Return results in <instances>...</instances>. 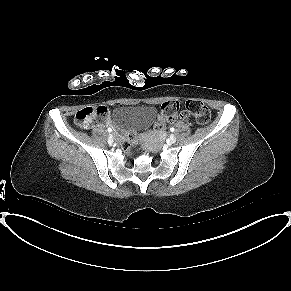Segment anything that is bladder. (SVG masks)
I'll return each instance as SVG.
<instances>
[{"mask_svg": "<svg viewBox=\"0 0 291 291\" xmlns=\"http://www.w3.org/2000/svg\"><path fill=\"white\" fill-rule=\"evenodd\" d=\"M155 118V111L145 105H117L112 114L111 121L119 131H135L148 127Z\"/></svg>", "mask_w": 291, "mask_h": 291, "instance_id": "bladder-1", "label": "bladder"}]
</instances>
